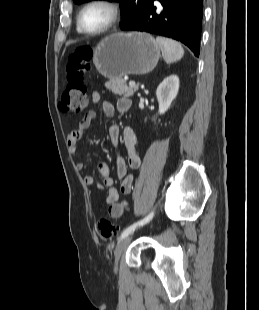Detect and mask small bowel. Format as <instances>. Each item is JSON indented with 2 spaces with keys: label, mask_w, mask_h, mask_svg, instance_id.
Segmentation results:
<instances>
[{
  "label": "small bowel",
  "mask_w": 259,
  "mask_h": 310,
  "mask_svg": "<svg viewBox=\"0 0 259 310\" xmlns=\"http://www.w3.org/2000/svg\"><path fill=\"white\" fill-rule=\"evenodd\" d=\"M91 101L93 104H98L100 102V95L97 92L92 93ZM130 105L131 102L129 99L121 98L117 102V109L122 112L127 111L130 108ZM102 107L106 117L112 119L115 111L114 106L109 102H104ZM95 117V111H88L80 121L78 127L68 134L67 144L69 153L72 156H76L77 144L82 140L86 130L91 126ZM108 133L112 145L118 150L120 144V129L114 121L111 122ZM123 141L127 149V160H125L119 153L116 158L117 174L119 178H121L120 190L114 186L110 168L106 163H100L98 166L102 182L96 181L92 175L84 176V182L86 185H94L98 189L103 187L107 188L106 203L108 205V211L110 216L116 219L120 218L124 212L128 210L127 202L119 200L120 192L123 194H130L134 187V177L132 175H127V166L132 169H137L141 164L140 157L136 151V136L131 128H125L123 130ZM83 166L82 162L76 163V168L79 170L83 169Z\"/></svg>",
  "instance_id": "1"
}]
</instances>
